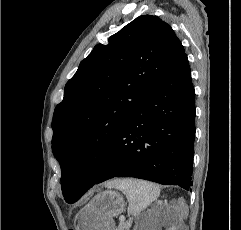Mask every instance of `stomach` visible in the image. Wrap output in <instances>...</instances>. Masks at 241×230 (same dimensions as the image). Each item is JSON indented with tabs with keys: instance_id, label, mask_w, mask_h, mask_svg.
<instances>
[{
	"instance_id": "1",
	"label": "stomach",
	"mask_w": 241,
	"mask_h": 230,
	"mask_svg": "<svg viewBox=\"0 0 241 230\" xmlns=\"http://www.w3.org/2000/svg\"><path fill=\"white\" fill-rule=\"evenodd\" d=\"M123 196L116 191L98 193L74 218V230H115L114 217L125 211Z\"/></svg>"
}]
</instances>
